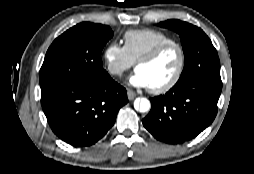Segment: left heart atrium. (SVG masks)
Wrapping results in <instances>:
<instances>
[{
	"label": "left heart atrium",
	"mask_w": 254,
	"mask_h": 174,
	"mask_svg": "<svg viewBox=\"0 0 254 174\" xmlns=\"http://www.w3.org/2000/svg\"><path fill=\"white\" fill-rule=\"evenodd\" d=\"M128 83L137 88H150L149 81L145 74L139 70H136L129 78Z\"/></svg>",
	"instance_id": "1"
}]
</instances>
